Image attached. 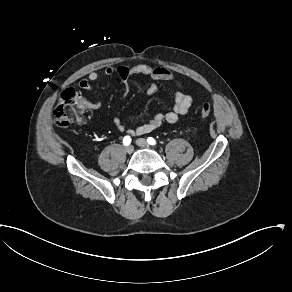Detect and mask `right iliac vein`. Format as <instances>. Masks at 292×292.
I'll list each match as a JSON object with an SVG mask.
<instances>
[{"label": "right iliac vein", "mask_w": 292, "mask_h": 292, "mask_svg": "<svg viewBox=\"0 0 292 292\" xmlns=\"http://www.w3.org/2000/svg\"><path fill=\"white\" fill-rule=\"evenodd\" d=\"M134 150V147L132 145H128L126 148H125V151L126 153L128 154H131Z\"/></svg>", "instance_id": "1"}]
</instances>
